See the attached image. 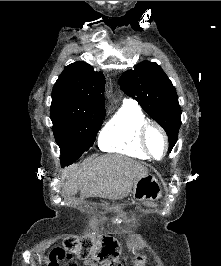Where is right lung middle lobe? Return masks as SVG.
I'll list each match as a JSON object with an SVG mask.
<instances>
[{"mask_svg": "<svg viewBox=\"0 0 221 266\" xmlns=\"http://www.w3.org/2000/svg\"><path fill=\"white\" fill-rule=\"evenodd\" d=\"M50 111L61 163L69 165L93 145L105 113H83L70 100L61 98H52Z\"/></svg>", "mask_w": 221, "mask_h": 266, "instance_id": "1", "label": "right lung middle lobe"}]
</instances>
